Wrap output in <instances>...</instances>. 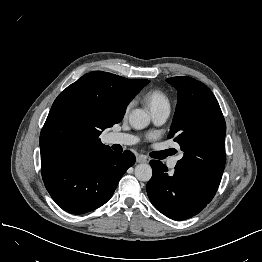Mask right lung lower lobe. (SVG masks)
I'll return each mask as SVG.
<instances>
[{"mask_svg": "<svg viewBox=\"0 0 262 262\" xmlns=\"http://www.w3.org/2000/svg\"><path fill=\"white\" fill-rule=\"evenodd\" d=\"M134 163L132 152L117 154L106 149L41 158V172L52 199L69 213L83 214L105 204Z\"/></svg>", "mask_w": 262, "mask_h": 262, "instance_id": "1", "label": "right lung lower lobe"}]
</instances>
